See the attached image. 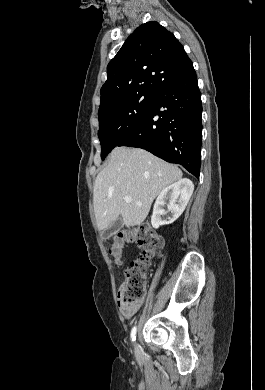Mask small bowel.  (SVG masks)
Masks as SVG:
<instances>
[{
  "label": "small bowel",
  "instance_id": "c3829d8e",
  "mask_svg": "<svg viewBox=\"0 0 265 390\" xmlns=\"http://www.w3.org/2000/svg\"><path fill=\"white\" fill-rule=\"evenodd\" d=\"M142 304L143 300L131 305H126L119 301V309L124 317L131 318L141 308Z\"/></svg>",
  "mask_w": 265,
  "mask_h": 390
}]
</instances>
